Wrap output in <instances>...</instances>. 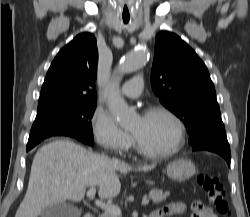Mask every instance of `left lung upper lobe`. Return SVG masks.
Returning <instances> with one entry per match:
<instances>
[{
  "label": "left lung upper lobe",
  "mask_w": 250,
  "mask_h": 217,
  "mask_svg": "<svg viewBox=\"0 0 250 217\" xmlns=\"http://www.w3.org/2000/svg\"><path fill=\"white\" fill-rule=\"evenodd\" d=\"M151 83L160 102L185 124L190 143L212 127L223 125L205 64L174 33L161 31L156 36Z\"/></svg>",
  "instance_id": "5c2ea615"
}]
</instances>
